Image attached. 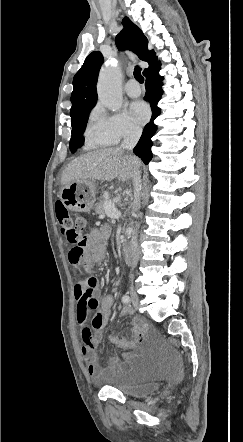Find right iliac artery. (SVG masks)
Returning a JSON list of instances; mask_svg holds the SVG:
<instances>
[{
  "label": "right iliac artery",
  "mask_w": 243,
  "mask_h": 442,
  "mask_svg": "<svg viewBox=\"0 0 243 442\" xmlns=\"http://www.w3.org/2000/svg\"><path fill=\"white\" fill-rule=\"evenodd\" d=\"M130 301H131V299H130V297L128 295H124L122 297V302L123 303H130Z\"/></svg>",
  "instance_id": "1"
}]
</instances>
